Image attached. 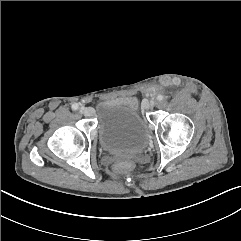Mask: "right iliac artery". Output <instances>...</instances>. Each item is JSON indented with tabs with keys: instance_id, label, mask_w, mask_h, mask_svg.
<instances>
[{
	"instance_id": "obj_1",
	"label": "right iliac artery",
	"mask_w": 241,
	"mask_h": 241,
	"mask_svg": "<svg viewBox=\"0 0 241 241\" xmlns=\"http://www.w3.org/2000/svg\"><path fill=\"white\" fill-rule=\"evenodd\" d=\"M72 109H73V110H77V109H78V104L74 103V104L72 105Z\"/></svg>"
}]
</instances>
